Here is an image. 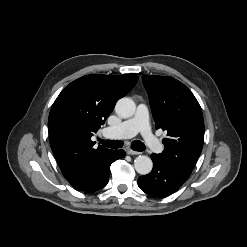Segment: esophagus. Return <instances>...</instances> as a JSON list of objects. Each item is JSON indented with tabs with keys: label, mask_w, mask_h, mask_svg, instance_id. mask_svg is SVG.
I'll list each match as a JSON object with an SVG mask.
<instances>
[{
	"label": "esophagus",
	"mask_w": 247,
	"mask_h": 247,
	"mask_svg": "<svg viewBox=\"0 0 247 247\" xmlns=\"http://www.w3.org/2000/svg\"><path fill=\"white\" fill-rule=\"evenodd\" d=\"M127 153L129 155H139L140 154V152L132 150V149H127Z\"/></svg>",
	"instance_id": "1"
}]
</instances>
